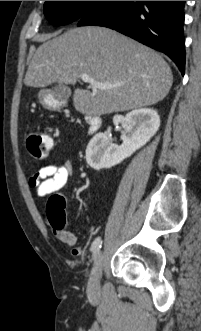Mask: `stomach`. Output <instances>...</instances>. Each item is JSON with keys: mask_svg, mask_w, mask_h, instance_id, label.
<instances>
[{"mask_svg": "<svg viewBox=\"0 0 201 331\" xmlns=\"http://www.w3.org/2000/svg\"><path fill=\"white\" fill-rule=\"evenodd\" d=\"M40 103L47 109H59L62 104L54 98V96L47 90H41L38 93Z\"/></svg>", "mask_w": 201, "mask_h": 331, "instance_id": "0dacf381", "label": "stomach"}]
</instances>
